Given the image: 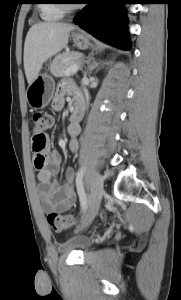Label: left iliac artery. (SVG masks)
Here are the masks:
<instances>
[{
	"label": "left iliac artery",
	"instance_id": "1",
	"mask_svg": "<svg viewBox=\"0 0 181 300\" xmlns=\"http://www.w3.org/2000/svg\"><path fill=\"white\" fill-rule=\"evenodd\" d=\"M86 171V167L82 166L76 175V189L80 199V205L82 211H85L87 208V195L85 193L84 185H83V176Z\"/></svg>",
	"mask_w": 181,
	"mask_h": 300
}]
</instances>
